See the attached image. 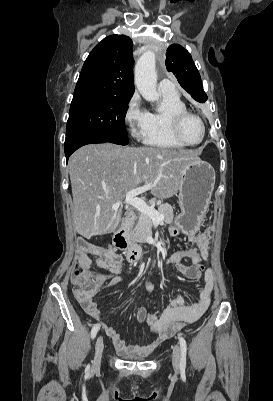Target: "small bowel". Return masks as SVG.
<instances>
[{
    "mask_svg": "<svg viewBox=\"0 0 273 401\" xmlns=\"http://www.w3.org/2000/svg\"><path fill=\"white\" fill-rule=\"evenodd\" d=\"M211 221V218H208ZM174 236L180 235L179 229L173 230ZM195 246L190 249L177 250L167 259V263L174 264L179 272L190 280H197L201 289L196 300L189 301L184 295L179 294L167 302L161 314L149 313L145 307H140L136 313L138 322H146L151 329L152 341L146 344H131L126 342L121 335L110 325L102 321L103 313L93 298L98 294V287L103 290L119 283H128L127 279L119 278L107 281L101 276H93V284H85L84 290H75L73 297L82 306L84 311L94 320L100 323L103 331L112 340L116 350L123 354L135 353L147 354L153 343L162 345L164 338L172 336L187 324L198 320L211 304L214 290V273L210 267H204L202 261L207 258L210 247V228L199 232L192 237ZM83 251H90L92 257L88 261H94L98 266L109 270L113 274H121L124 267V258L121 253L110 246H96L84 243L80 246V255ZM189 263V264H187Z\"/></svg>",
    "mask_w": 273,
    "mask_h": 401,
    "instance_id": "small-bowel-1",
    "label": "small bowel"
}]
</instances>
